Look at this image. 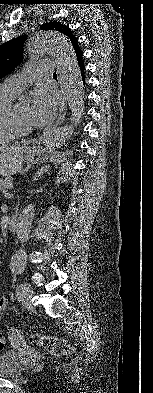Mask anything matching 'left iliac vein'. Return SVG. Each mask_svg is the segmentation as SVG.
Returning <instances> with one entry per match:
<instances>
[{
  "label": "left iliac vein",
  "mask_w": 153,
  "mask_h": 393,
  "mask_svg": "<svg viewBox=\"0 0 153 393\" xmlns=\"http://www.w3.org/2000/svg\"><path fill=\"white\" fill-rule=\"evenodd\" d=\"M31 296H32V289L30 288V286H28V288L25 290L24 296H23V306H24V308H26L28 310L33 309Z\"/></svg>",
  "instance_id": "1"
}]
</instances>
